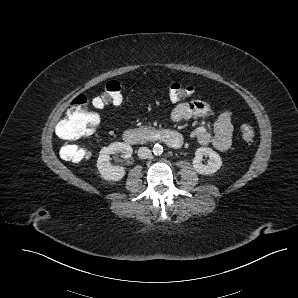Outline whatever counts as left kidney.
Wrapping results in <instances>:
<instances>
[{
    "label": "left kidney",
    "instance_id": "5707ae66",
    "mask_svg": "<svg viewBox=\"0 0 298 298\" xmlns=\"http://www.w3.org/2000/svg\"><path fill=\"white\" fill-rule=\"evenodd\" d=\"M208 156L206 164H203V157ZM222 164L220 156L209 147H200L195 152V158L193 159L194 168L201 174H212L216 172Z\"/></svg>",
    "mask_w": 298,
    "mask_h": 298
}]
</instances>
